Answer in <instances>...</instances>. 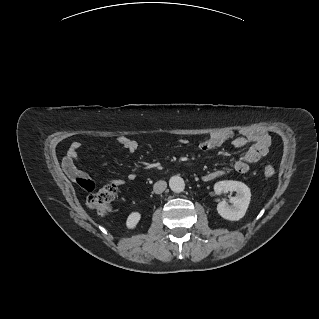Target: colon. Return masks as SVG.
I'll return each instance as SVG.
<instances>
[{"label": "colon", "instance_id": "5ec220e1", "mask_svg": "<svg viewBox=\"0 0 319 319\" xmlns=\"http://www.w3.org/2000/svg\"><path fill=\"white\" fill-rule=\"evenodd\" d=\"M275 174L273 166H266L264 168V175L266 177H272ZM79 184L90 192L87 197V206L94 210L99 215H107L112 209V203L116 198L117 191L115 187L111 185H105L98 190H95L96 186L93 181L89 179H79Z\"/></svg>", "mask_w": 319, "mask_h": 319}]
</instances>
